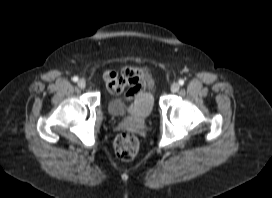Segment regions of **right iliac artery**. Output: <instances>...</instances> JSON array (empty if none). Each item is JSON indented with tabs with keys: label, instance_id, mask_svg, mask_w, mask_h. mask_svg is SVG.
<instances>
[{
	"label": "right iliac artery",
	"instance_id": "obj_1",
	"mask_svg": "<svg viewBox=\"0 0 272 198\" xmlns=\"http://www.w3.org/2000/svg\"><path fill=\"white\" fill-rule=\"evenodd\" d=\"M72 80H73L74 82H77V81H78V77H77V76H74V77L72 78Z\"/></svg>",
	"mask_w": 272,
	"mask_h": 198
}]
</instances>
